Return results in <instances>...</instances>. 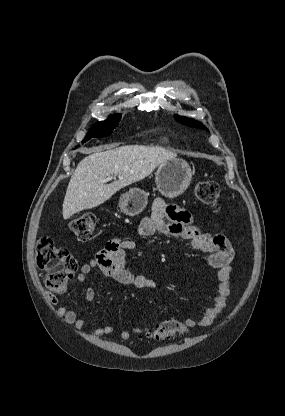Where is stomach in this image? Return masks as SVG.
I'll return each instance as SVG.
<instances>
[{
  "label": "stomach",
  "mask_w": 285,
  "mask_h": 416,
  "mask_svg": "<svg viewBox=\"0 0 285 416\" xmlns=\"http://www.w3.org/2000/svg\"><path fill=\"white\" fill-rule=\"evenodd\" d=\"M193 174L185 160H167L160 164L155 174L157 190L166 198H176L190 186ZM147 202V194L143 190L131 188L129 192L120 196L119 208L125 216H138L146 208Z\"/></svg>",
  "instance_id": "1"
}]
</instances>
